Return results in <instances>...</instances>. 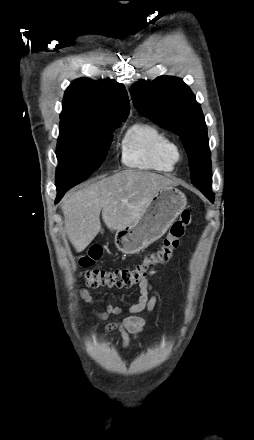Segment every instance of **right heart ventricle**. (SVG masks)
Here are the masks:
<instances>
[{"label":"right heart ventricle","mask_w":254,"mask_h":440,"mask_svg":"<svg viewBox=\"0 0 254 440\" xmlns=\"http://www.w3.org/2000/svg\"><path fill=\"white\" fill-rule=\"evenodd\" d=\"M177 159L174 140L153 123L132 125L122 140V161L127 167L168 172L174 169Z\"/></svg>","instance_id":"e07e8e85"}]
</instances>
